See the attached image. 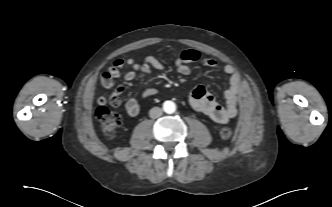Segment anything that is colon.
Wrapping results in <instances>:
<instances>
[{"label":"colon","instance_id":"1","mask_svg":"<svg viewBox=\"0 0 332 207\" xmlns=\"http://www.w3.org/2000/svg\"><path fill=\"white\" fill-rule=\"evenodd\" d=\"M108 103L112 106H118L121 103V96L114 92L109 98L105 96L98 98L96 115L101 122L102 131L106 137L114 138L121 128L122 118L118 113L109 109ZM231 135L232 131L230 128L225 127L220 130V136L223 139H228Z\"/></svg>","mask_w":332,"mask_h":207}]
</instances>
